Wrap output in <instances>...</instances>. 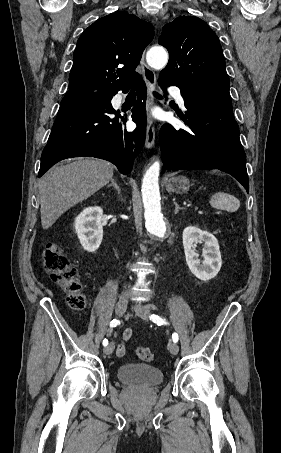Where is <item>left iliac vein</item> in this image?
Here are the masks:
<instances>
[{
  "label": "left iliac vein",
  "instance_id": "obj_1",
  "mask_svg": "<svg viewBox=\"0 0 281 453\" xmlns=\"http://www.w3.org/2000/svg\"><path fill=\"white\" fill-rule=\"evenodd\" d=\"M132 310L134 309L137 311V316H143L144 319L148 320V315L149 314V307H142V304H137L136 307H130ZM168 349L171 353H175L176 356L179 353V346L178 344H175L174 342L172 344H169Z\"/></svg>",
  "mask_w": 281,
  "mask_h": 453
}]
</instances>
